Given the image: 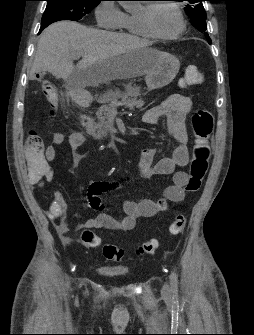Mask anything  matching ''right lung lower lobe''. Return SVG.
Returning a JSON list of instances; mask_svg holds the SVG:
<instances>
[{
	"label": "right lung lower lobe",
	"instance_id": "right-lung-lower-lobe-1",
	"mask_svg": "<svg viewBox=\"0 0 254 335\" xmlns=\"http://www.w3.org/2000/svg\"><path fill=\"white\" fill-rule=\"evenodd\" d=\"M48 25H50V24L41 25L40 30H39V33H41V31H42L44 28H46Z\"/></svg>",
	"mask_w": 254,
	"mask_h": 335
}]
</instances>
